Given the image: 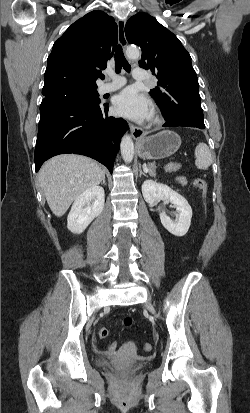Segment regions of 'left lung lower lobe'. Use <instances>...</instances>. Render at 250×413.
<instances>
[{"label": "left lung lower lobe", "mask_w": 250, "mask_h": 413, "mask_svg": "<svg viewBox=\"0 0 250 413\" xmlns=\"http://www.w3.org/2000/svg\"><path fill=\"white\" fill-rule=\"evenodd\" d=\"M173 98L169 102L158 104L162 108V114L166 120L164 127L186 126L200 129L205 128L198 92L176 94Z\"/></svg>", "instance_id": "obj_1"}]
</instances>
